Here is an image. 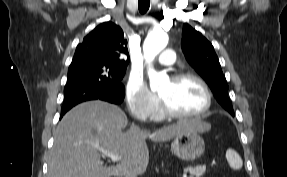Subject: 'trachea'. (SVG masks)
Instances as JSON below:
<instances>
[{"instance_id":"3493384b","label":"trachea","mask_w":287,"mask_h":177,"mask_svg":"<svg viewBox=\"0 0 287 177\" xmlns=\"http://www.w3.org/2000/svg\"><path fill=\"white\" fill-rule=\"evenodd\" d=\"M150 6V0H138L139 11L144 14Z\"/></svg>"}]
</instances>
